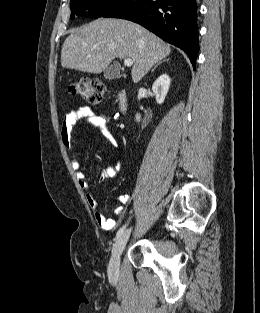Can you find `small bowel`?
I'll return each mask as SVG.
<instances>
[{
    "instance_id": "small-bowel-1",
    "label": "small bowel",
    "mask_w": 260,
    "mask_h": 313,
    "mask_svg": "<svg viewBox=\"0 0 260 313\" xmlns=\"http://www.w3.org/2000/svg\"><path fill=\"white\" fill-rule=\"evenodd\" d=\"M112 117L105 113H96L92 108L88 106H81L76 109L70 110L61 126V140L64 146L68 149L72 147V138L76 128L80 125L96 127L100 130L102 136L113 146H117V142L111 132L109 126L111 124ZM71 167L74 171L75 178L80 188L86 194V200L93 211L96 222L100 227L106 230H112L116 227L117 222L121 220L126 214V208L121 207L114 212L115 218H108L100 210L99 204L93 194L90 192L89 184L86 179L85 173L81 170L80 162L77 159H72ZM121 169V164L118 162L104 169L101 175L102 180L111 179L116 177ZM131 200L129 195L120 196V202L124 205L128 204Z\"/></svg>"
}]
</instances>
